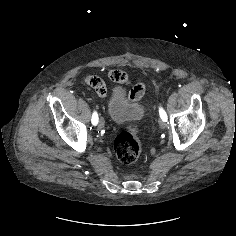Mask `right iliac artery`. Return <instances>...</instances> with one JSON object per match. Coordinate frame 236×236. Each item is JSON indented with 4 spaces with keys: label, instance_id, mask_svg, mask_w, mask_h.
<instances>
[{
    "label": "right iliac artery",
    "instance_id": "obj_1",
    "mask_svg": "<svg viewBox=\"0 0 236 236\" xmlns=\"http://www.w3.org/2000/svg\"><path fill=\"white\" fill-rule=\"evenodd\" d=\"M91 121H92L93 125H97V123H98V114H97V112L93 113Z\"/></svg>",
    "mask_w": 236,
    "mask_h": 236
}]
</instances>
